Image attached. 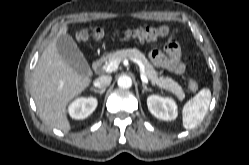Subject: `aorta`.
I'll return each mask as SVG.
<instances>
[{"mask_svg":"<svg viewBox=\"0 0 249 165\" xmlns=\"http://www.w3.org/2000/svg\"><path fill=\"white\" fill-rule=\"evenodd\" d=\"M117 84L121 88H130L132 86V79L127 75H122L118 78Z\"/></svg>","mask_w":249,"mask_h":165,"instance_id":"762f6f07","label":"aorta"}]
</instances>
